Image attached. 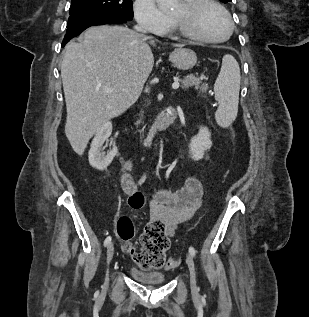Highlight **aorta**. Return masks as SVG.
<instances>
[{
    "label": "aorta",
    "mask_w": 309,
    "mask_h": 317,
    "mask_svg": "<svg viewBox=\"0 0 309 317\" xmlns=\"http://www.w3.org/2000/svg\"><path fill=\"white\" fill-rule=\"evenodd\" d=\"M179 0H157L159 7L164 11H170L178 4Z\"/></svg>",
    "instance_id": "obj_1"
}]
</instances>
